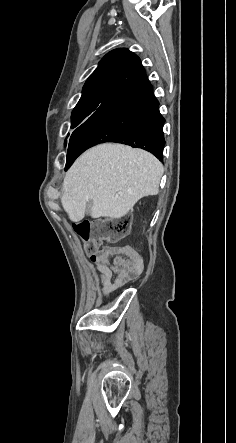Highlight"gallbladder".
<instances>
[{
	"instance_id": "bac80fb5",
	"label": "gallbladder",
	"mask_w": 236,
	"mask_h": 443,
	"mask_svg": "<svg viewBox=\"0 0 236 443\" xmlns=\"http://www.w3.org/2000/svg\"><path fill=\"white\" fill-rule=\"evenodd\" d=\"M90 204H91V203H87V209H86V214H88V213H89V211H90Z\"/></svg>"
}]
</instances>
